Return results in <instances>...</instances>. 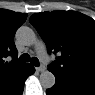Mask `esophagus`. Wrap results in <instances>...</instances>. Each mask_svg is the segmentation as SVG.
<instances>
[{
	"instance_id": "obj_1",
	"label": "esophagus",
	"mask_w": 95,
	"mask_h": 95,
	"mask_svg": "<svg viewBox=\"0 0 95 95\" xmlns=\"http://www.w3.org/2000/svg\"><path fill=\"white\" fill-rule=\"evenodd\" d=\"M45 69H46V67L44 65L36 67V70L39 71V72H43V71H45Z\"/></svg>"
}]
</instances>
